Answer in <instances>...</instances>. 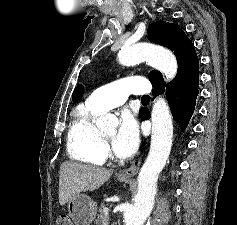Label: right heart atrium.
<instances>
[{
  "mask_svg": "<svg viewBox=\"0 0 237 225\" xmlns=\"http://www.w3.org/2000/svg\"><path fill=\"white\" fill-rule=\"evenodd\" d=\"M104 153L105 155H108V147L106 145H104Z\"/></svg>",
  "mask_w": 237,
  "mask_h": 225,
  "instance_id": "1",
  "label": "right heart atrium"
}]
</instances>
